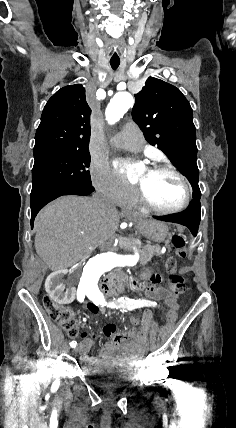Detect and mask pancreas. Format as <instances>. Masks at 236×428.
Wrapping results in <instances>:
<instances>
[{"mask_svg":"<svg viewBox=\"0 0 236 428\" xmlns=\"http://www.w3.org/2000/svg\"><path fill=\"white\" fill-rule=\"evenodd\" d=\"M143 250H140V264H147L152 260L153 256H160L161 254V246H142Z\"/></svg>","mask_w":236,"mask_h":428,"instance_id":"1","label":"pancreas"}]
</instances>
